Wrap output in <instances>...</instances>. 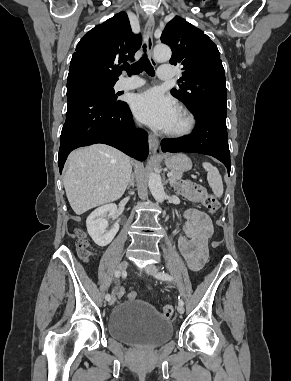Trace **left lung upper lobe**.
<instances>
[{
    "label": "left lung upper lobe",
    "mask_w": 291,
    "mask_h": 381,
    "mask_svg": "<svg viewBox=\"0 0 291 381\" xmlns=\"http://www.w3.org/2000/svg\"><path fill=\"white\" fill-rule=\"evenodd\" d=\"M161 41L172 50L170 64L182 65L180 90L171 94L192 112L227 110L225 73L217 46L203 31L179 16L167 23Z\"/></svg>",
    "instance_id": "obj_1"
}]
</instances>
